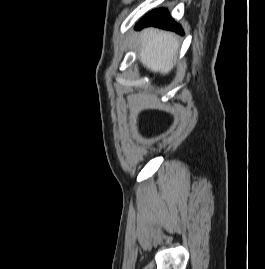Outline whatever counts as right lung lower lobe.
Returning <instances> with one entry per match:
<instances>
[{
  "instance_id": "right-lung-lower-lobe-1",
  "label": "right lung lower lobe",
  "mask_w": 265,
  "mask_h": 269,
  "mask_svg": "<svg viewBox=\"0 0 265 269\" xmlns=\"http://www.w3.org/2000/svg\"><path fill=\"white\" fill-rule=\"evenodd\" d=\"M151 25L183 34V30L180 25L174 22V20L167 13L166 9H157L151 11L136 25L135 28L142 29L143 27Z\"/></svg>"
}]
</instances>
